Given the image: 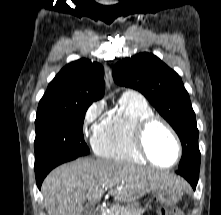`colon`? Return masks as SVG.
<instances>
[{"label":"colon","instance_id":"colon-1","mask_svg":"<svg viewBox=\"0 0 221 215\" xmlns=\"http://www.w3.org/2000/svg\"><path fill=\"white\" fill-rule=\"evenodd\" d=\"M160 215H183V212L178 207H170V208L162 209L160 211Z\"/></svg>","mask_w":221,"mask_h":215}]
</instances>
